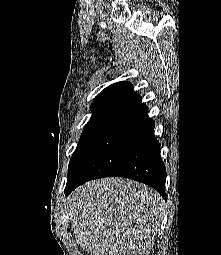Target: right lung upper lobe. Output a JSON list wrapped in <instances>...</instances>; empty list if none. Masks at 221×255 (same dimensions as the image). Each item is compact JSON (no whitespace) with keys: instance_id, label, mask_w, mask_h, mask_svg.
Returning <instances> with one entry per match:
<instances>
[{"instance_id":"cb5924a9","label":"right lung upper lobe","mask_w":221,"mask_h":255,"mask_svg":"<svg viewBox=\"0 0 221 255\" xmlns=\"http://www.w3.org/2000/svg\"><path fill=\"white\" fill-rule=\"evenodd\" d=\"M138 97L130 82H117L105 88L94 99L91 110L118 109Z\"/></svg>"}]
</instances>
